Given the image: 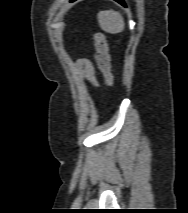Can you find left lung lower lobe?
Wrapping results in <instances>:
<instances>
[{"mask_svg":"<svg viewBox=\"0 0 188 213\" xmlns=\"http://www.w3.org/2000/svg\"><path fill=\"white\" fill-rule=\"evenodd\" d=\"M71 1H75V0H71ZM115 1L119 2L122 5H125L124 2H123V0H115Z\"/></svg>","mask_w":188,"mask_h":213,"instance_id":"0a47b994","label":"left lung lower lobe"}]
</instances>
